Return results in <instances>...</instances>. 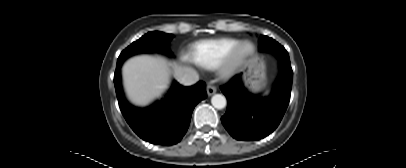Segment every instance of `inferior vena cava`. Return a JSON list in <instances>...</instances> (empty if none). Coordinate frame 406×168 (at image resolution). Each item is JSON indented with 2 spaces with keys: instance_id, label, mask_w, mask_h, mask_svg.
I'll return each instance as SVG.
<instances>
[{
  "instance_id": "602c4592",
  "label": "inferior vena cava",
  "mask_w": 406,
  "mask_h": 168,
  "mask_svg": "<svg viewBox=\"0 0 406 168\" xmlns=\"http://www.w3.org/2000/svg\"><path fill=\"white\" fill-rule=\"evenodd\" d=\"M176 78L181 84L193 85L199 80V75L192 68H184L176 74Z\"/></svg>"
}]
</instances>
